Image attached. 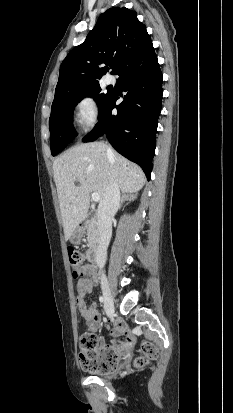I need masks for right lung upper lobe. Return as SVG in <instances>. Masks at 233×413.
I'll use <instances>...</instances> for the list:
<instances>
[{"label":"right lung upper lobe","mask_w":233,"mask_h":413,"mask_svg":"<svg viewBox=\"0 0 233 413\" xmlns=\"http://www.w3.org/2000/svg\"><path fill=\"white\" fill-rule=\"evenodd\" d=\"M151 42L135 11L113 7L101 14L86 40L61 64L53 103L99 83L109 65L115 74L129 58Z\"/></svg>","instance_id":"1"}]
</instances>
